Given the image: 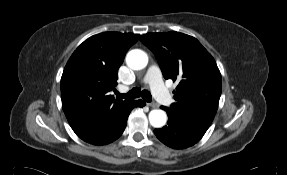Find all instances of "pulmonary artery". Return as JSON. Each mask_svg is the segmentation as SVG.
<instances>
[{
    "label": "pulmonary artery",
    "instance_id": "e3ab8cb5",
    "mask_svg": "<svg viewBox=\"0 0 287 175\" xmlns=\"http://www.w3.org/2000/svg\"><path fill=\"white\" fill-rule=\"evenodd\" d=\"M144 82L150 85L153 95L161 104L170 105L172 103V97L161 80L157 66L149 67L144 77Z\"/></svg>",
    "mask_w": 287,
    "mask_h": 175
}]
</instances>
